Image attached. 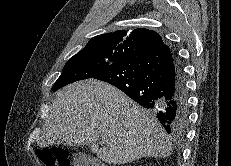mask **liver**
Wrapping results in <instances>:
<instances>
[{"mask_svg":"<svg viewBox=\"0 0 231 166\" xmlns=\"http://www.w3.org/2000/svg\"><path fill=\"white\" fill-rule=\"evenodd\" d=\"M37 144L90 146L99 159L114 165L143 157L165 158L172 151L154 115L95 79L75 82L57 93Z\"/></svg>","mask_w":231,"mask_h":166,"instance_id":"obj_1","label":"liver"}]
</instances>
